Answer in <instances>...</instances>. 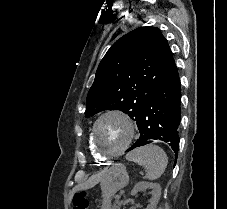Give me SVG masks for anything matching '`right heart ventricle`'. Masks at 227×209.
Listing matches in <instances>:
<instances>
[{
    "instance_id": "e07e8e85",
    "label": "right heart ventricle",
    "mask_w": 227,
    "mask_h": 209,
    "mask_svg": "<svg viewBox=\"0 0 227 209\" xmlns=\"http://www.w3.org/2000/svg\"><path fill=\"white\" fill-rule=\"evenodd\" d=\"M88 148H89V150H90V152H91V155L93 156V158L96 160V161H101L102 159H100L99 157H98V155L96 154V152H95V150H94V148H93V146H92V143H91V140H90V133H89V135H88Z\"/></svg>"
}]
</instances>
